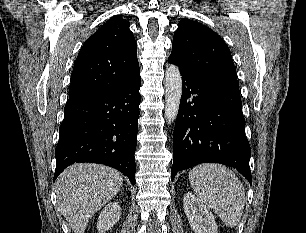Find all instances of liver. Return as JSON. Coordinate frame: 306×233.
Returning <instances> with one entry per match:
<instances>
[{
	"instance_id": "obj_1",
	"label": "liver",
	"mask_w": 306,
	"mask_h": 233,
	"mask_svg": "<svg viewBox=\"0 0 306 233\" xmlns=\"http://www.w3.org/2000/svg\"><path fill=\"white\" fill-rule=\"evenodd\" d=\"M122 175L100 164L79 163L63 171L57 180V204L75 233L122 188Z\"/></svg>"
}]
</instances>
